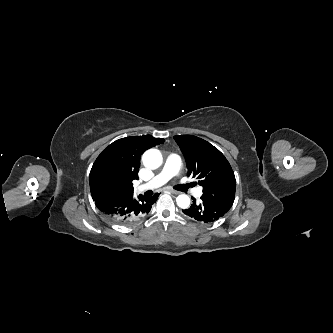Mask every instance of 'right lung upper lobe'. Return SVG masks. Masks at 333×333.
Returning <instances> with one entry per match:
<instances>
[{
    "instance_id": "right-lung-upper-lobe-1",
    "label": "right lung upper lobe",
    "mask_w": 333,
    "mask_h": 333,
    "mask_svg": "<svg viewBox=\"0 0 333 333\" xmlns=\"http://www.w3.org/2000/svg\"><path fill=\"white\" fill-rule=\"evenodd\" d=\"M164 139L151 135L132 136L114 141L94 162L89 175L93 200L109 194H133L138 179L140 156Z\"/></svg>"
}]
</instances>
